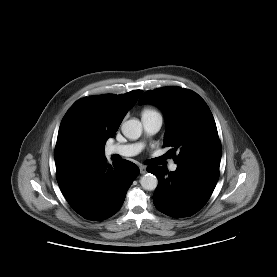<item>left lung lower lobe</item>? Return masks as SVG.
Listing matches in <instances>:
<instances>
[{
    "mask_svg": "<svg viewBox=\"0 0 277 277\" xmlns=\"http://www.w3.org/2000/svg\"><path fill=\"white\" fill-rule=\"evenodd\" d=\"M218 160H199L178 165L174 172L161 166L148 167L159 184L153 195L156 208L174 217H188L209 200L219 178Z\"/></svg>",
    "mask_w": 277,
    "mask_h": 277,
    "instance_id": "left-lung-lower-lobe-1",
    "label": "left lung lower lobe"
}]
</instances>
